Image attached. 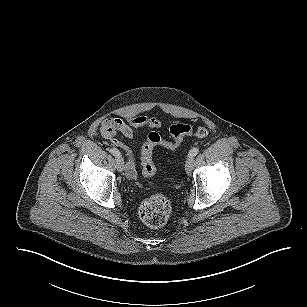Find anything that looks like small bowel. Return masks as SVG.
I'll return each mask as SVG.
<instances>
[{
	"label": "small bowel",
	"mask_w": 307,
	"mask_h": 307,
	"mask_svg": "<svg viewBox=\"0 0 307 307\" xmlns=\"http://www.w3.org/2000/svg\"><path fill=\"white\" fill-rule=\"evenodd\" d=\"M160 126L161 121L158 118H148L145 116L131 117L126 120L107 118L102 121L100 129L102 136L110 141L114 147L121 149L126 156L125 171L128 177L135 178L137 175L136 160L133 151L118 138V135L120 134L125 138L131 139L134 137L137 129H157Z\"/></svg>",
	"instance_id": "small-bowel-1"
}]
</instances>
